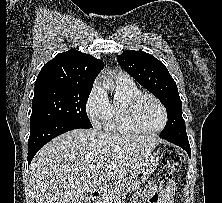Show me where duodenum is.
Returning <instances> with one entry per match:
<instances>
[{
	"mask_svg": "<svg viewBox=\"0 0 222 203\" xmlns=\"http://www.w3.org/2000/svg\"><path fill=\"white\" fill-rule=\"evenodd\" d=\"M105 196V191L103 189H96L91 193V199L94 203H101Z\"/></svg>",
	"mask_w": 222,
	"mask_h": 203,
	"instance_id": "410a0bca",
	"label": "duodenum"
}]
</instances>
